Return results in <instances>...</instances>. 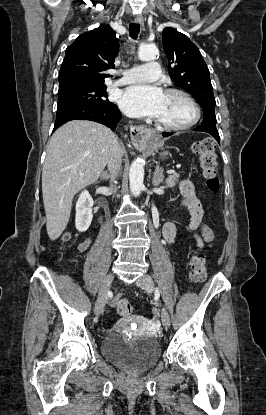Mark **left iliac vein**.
<instances>
[{
	"mask_svg": "<svg viewBox=\"0 0 266 415\" xmlns=\"http://www.w3.org/2000/svg\"><path fill=\"white\" fill-rule=\"evenodd\" d=\"M135 283L138 287L144 289L148 293H152L154 291L153 279L148 274L140 276ZM161 321L165 328L170 326V316L165 308H162L161 310Z\"/></svg>",
	"mask_w": 266,
	"mask_h": 415,
	"instance_id": "4c4485c4",
	"label": "left iliac vein"
}]
</instances>
